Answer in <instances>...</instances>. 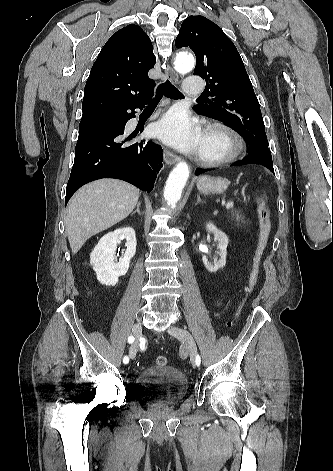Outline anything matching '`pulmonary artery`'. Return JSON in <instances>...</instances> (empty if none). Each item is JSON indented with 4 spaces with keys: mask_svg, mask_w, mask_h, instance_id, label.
I'll use <instances>...</instances> for the list:
<instances>
[{
    "mask_svg": "<svg viewBox=\"0 0 333 471\" xmlns=\"http://www.w3.org/2000/svg\"><path fill=\"white\" fill-rule=\"evenodd\" d=\"M204 89L203 80L198 76H190L185 83V93L187 95H199Z\"/></svg>",
    "mask_w": 333,
    "mask_h": 471,
    "instance_id": "e3ab8cb5",
    "label": "pulmonary artery"
}]
</instances>
